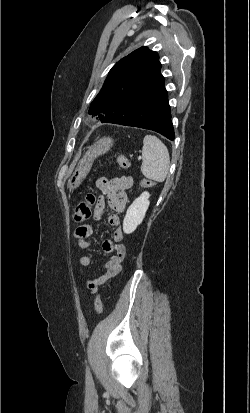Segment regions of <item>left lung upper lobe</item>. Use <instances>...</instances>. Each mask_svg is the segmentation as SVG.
I'll use <instances>...</instances> for the list:
<instances>
[{
  "mask_svg": "<svg viewBox=\"0 0 250 413\" xmlns=\"http://www.w3.org/2000/svg\"><path fill=\"white\" fill-rule=\"evenodd\" d=\"M161 63L156 52L146 46L133 51L110 70L102 89L89 108V114L104 117L113 114L129 99L138 84L162 78Z\"/></svg>",
  "mask_w": 250,
  "mask_h": 413,
  "instance_id": "left-lung-upper-lobe-1",
  "label": "left lung upper lobe"
}]
</instances>
